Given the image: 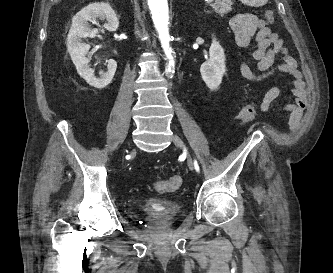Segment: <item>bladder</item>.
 <instances>
[{
    "mask_svg": "<svg viewBox=\"0 0 333 273\" xmlns=\"http://www.w3.org/2000/svg\"><path fill=\"white\" fill-rule=\"evenodd\" d=\"M144 212L154 223L163 226H169L176 218L179 206L177 203L166 200L156 204H147Z\"/></svg>",
    "mask_w": 333,
    "mask_h": 273,
    "instance_id": "31cf9c89",
    "label": "bladder"
}]
</instances>
